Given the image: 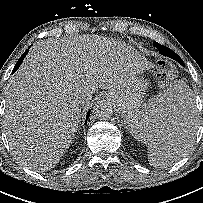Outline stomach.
Masks as SVG:
<instances>
[{"instance_id": "obj_1", "label": "stomach", "mask_w": 203, "mask_h": 203, "mask_svg": "<svg viewBox=\"0 0 203 203\" xmlns=\"http://www.w3.org/2000/svg\"><path fill=\"white\" fill-rule=\"evenodd\" d=\"M147 89L146 80L139 78L127 86L116 90L111 96V101L122 113L126 127H130V115L142 107V98ZM127 113V114H126ZM130 130V129H129Z\"/></svg>"}]
</instances>
